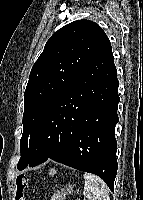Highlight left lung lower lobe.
I'll return each instance as SVG.
<instances>
[{"instance_id":"0a47b994","label":"left lung lower lobe","mask_w":143,"mask_h":200,"mask_svg":"<svg viewBox=\"0 0 143 200\" xmlns=\"http://www.w3.org/2000/svg\"><path fill=\"white\" fill-rule=\"evenodd\" d=\"M119 101L117 71L108 43L42 116L28 166L50 158L100 176L113 191Z\"/></svg>"}]
</instances>
